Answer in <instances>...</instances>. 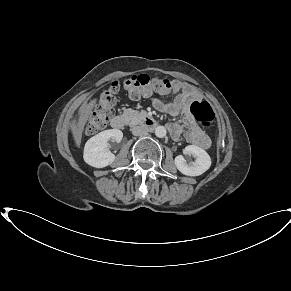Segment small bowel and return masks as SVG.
Instances as JSON below:
<instances>
[{
	"label": "small bowel",
	"mask_w": 291,
	"mask_h": 291,
	"mask_svg": "<svg viewBox=\"0 0 291 291\" xmlns=\"http://www.w3.org/2000/svg\"><path fill=\"white\" fill-rule=\"evenodd\" d=\"M174 95L171 101H165L162 98H155L154 107L162 112L173 115L182 114V125L169 123L167 128L174 140L183 138L187 143L195 145L202 149L210 147L209 137L197 126L191 114L188 111L190 103L197 98L196 93L188 83L180 80L168 81V86L159 92L160 96Z\"/></svg>",
	"instance_id": "small-bowel-1"
}]
</instances>
